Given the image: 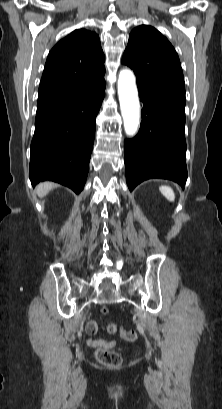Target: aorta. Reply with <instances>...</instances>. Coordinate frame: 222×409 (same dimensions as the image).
Here are the masks:
<instances>
[{"mask_svg":"<svg viewBox=\"0 0 222 409\" xmlns=\"http://www.w3.org/2000/svg\"><path fill=\"white\" fill-rule=\"evenodd\" d=\"M118 95L125 133L133 137L140 123V105L134 74L121 70L118 77Z\"/></svg>","mask_w":222,"mask_h":409,"instance_id":"obj_1","label":"aorta"}]
</instances>
